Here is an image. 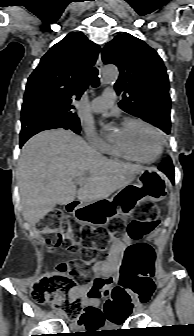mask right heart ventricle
I'll list each match as a JSON object with an SVG mask.
<instances>
[{"label":"right heart ventricle","mask_w":194,"mask_h":336,"mask_svg":"<svg viewBox=\"0 0 194 336\" xmlns=\"http://www.w3.org/2000/svg\"><path fill=\"white\" fill-rule=\"evenodd\" d=\"M106 153L115 158H128L114 144L109 146V149Z\"/></svg>","instance_id":"obj_1"}]
</instances>
